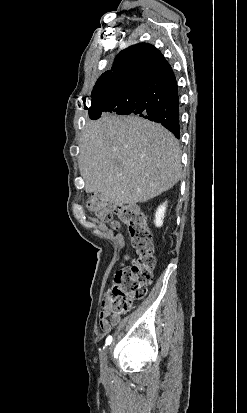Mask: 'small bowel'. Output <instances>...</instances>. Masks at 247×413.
<instances>
[{
    "label": "small bowel",
    "instance_id": "c3829d8e",
    "mask_svg": "<svg viewBox=\"0 0 247 413\" xmlns=\"http://www.w3.org/2000/svg\"><path fill=\"white\" fill-rule=\"evenodd\" d=\"M128 260V257H125V261ZM109 303V296L105 295L102 305H103V310L99 314V327L102 333L106 334L111 331L112 327L118 325L121 321V318L119 315L115 314H110L107 305Z\"/></svg>",
    "mask_w": 247,
    "mask_h": 413
}]
</instances>
